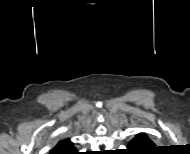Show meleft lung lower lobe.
Segmentation results:
<instances>
[{
    "label": "left lung lower lobe",
    "instance_id": "1",
    "mask_svg": "<svg viewBox=\"0 0 190 154\" xmlns=\"http://www.w3.org/2000/svg\"><path fill=\"white\" fill-rule=\"evenodd\" d=\"M153 146V142L144 134L139 133L134 139H132L128 145L130 151H143ZM141 154V153H132Z\"/></svg>",
    "mask_w": 190,
    "mask_h": 154
}]
</instances>
